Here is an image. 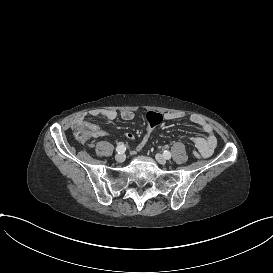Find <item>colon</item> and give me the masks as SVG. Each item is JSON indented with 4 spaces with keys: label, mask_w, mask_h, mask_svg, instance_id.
I'll return each instance as SVG.
<instances>
[{
    "label": "colon",
    "mask_w": 273,
    "mask_h": 273,
    "mask_svg": "<svg viewBox=\"0 0 273 273\" xmlns=\"http://www.w3.org/2000/svg\"><path fill=\"white\" fill-rule=\"evenodd\" d=\"M150 125L146 128V136H142L137 143V150L143 151L145 145L150 141L154 128L152 126L159 125L163 122V116L159 113H151L145 118ZM72 137L76 141H81L84 144H89L93 140V136H98L102 132V126L96 122L94 114H80L73 119Z\"/></svg>",
    "instance_id": "5ec220e1"
}]
</instances>
